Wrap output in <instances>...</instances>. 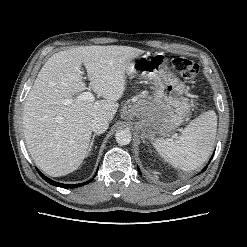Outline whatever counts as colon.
Instances as JSON below:
<instances>
[{
	"instance_id": "1",
	"label": "colon",
	"mask_w": 247,
	"mask_h": 247,
	"mask_svg": "<svg viewBox=\"0 0 247 247\" xmlns=\"http://www.w3.org/2000/svg\"><path fill=\"white\" fill-rule=\"evenodd\" d=\"M172 66L173 69L188 83H192L199 73V66L192 60L182 56L173 58Z\"/></svg>"
}]
</instances>
